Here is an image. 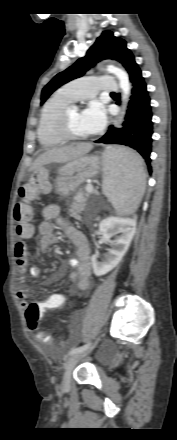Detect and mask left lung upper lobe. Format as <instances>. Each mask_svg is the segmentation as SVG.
<instances>
[{"label":"left lung upper lobe","instance_id":"5c2ea615","mask_svg":"<svg viewBox=\"0 0 177 440\" xmlns=\"http://www.w3.org/2000/svg\"><path fill=\"white\" fill-rule=\"evenodd\" d=\"M102 59L117 60L125 67L129 76L138 68L134 56L126 47V42L115 37L111 31H104L95 43L88 49L85 57L78 59L73 65L57 74L42 90L41 104L65 83L79 78L85 74L89 68Z\"/></svg>","mask_w":177,"mask_h":440}]
</instances>
